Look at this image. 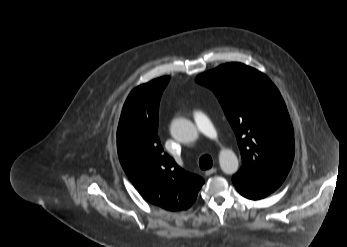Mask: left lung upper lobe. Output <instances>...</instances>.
Returning a JSON list of instances; mask_svg holds the SVG:
<instances>
[{"label": "left lung upper lobe", "instance_id": "1", "mask_svg": "<svg viewBox=\"0 0 347 247\" xmlns=\"http://www.w3.org/2000/svg\"><path fill=\"white\" fill-rule=\"evenodd\" d=\"M217 96L240 148L237 174L256 181L283 182L294 158V132L270 79L241 63H228L197 76Z\"/></svg>", "mask_w": 347, "mask_h": 247}]
</instances>
